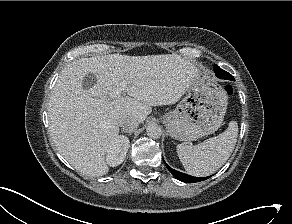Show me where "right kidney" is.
I'll use <instances>...</instances> for the list:
<instances>
[{"label": "right kidney", "mask_w": 292, "mask_h": 224, "mask_svg": "<svg viewBox=\"0 0 292 224\" xmlns=\"http://www.w3.org/2000/svg\"><path fill=\"white\" fill-rule=\"evenodd\" d=\"M129 143V139L125 136H118L111 142L106 154V162L109 166H118L124 161Z\"/></svg>", "instance_id": "ca27d5eb"}]
</instances>
